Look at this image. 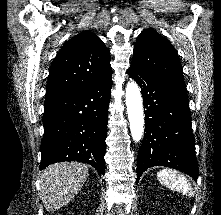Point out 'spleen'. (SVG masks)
<instances>
[{"label":"spleen","instance_id":"spleen-1","mask_svg":"<svg viewBox=\"0 0 221 215\" xmlns=\"http://www.w3.org/2000/svg\"><path fill=\"white\" fill-rule=\"evenodd\" d=\"M157 177L161 184L170 189L186 194L187 196L194 195L192 186L188 180L175 170L163 169L157 173Z\"/></svg>","mask_w":221,"mask_h":215}]
</instances>
